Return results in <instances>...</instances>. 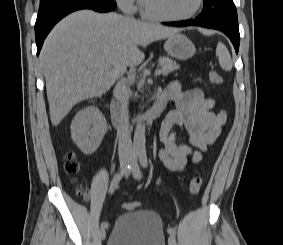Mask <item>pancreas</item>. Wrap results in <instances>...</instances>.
I'll use <instances>...</instances> for the list:
<instances>
[{"label": "pancreas", "mask_w": 283, "mask_h": 245, "mask_svg": "<svg viewBox=\"0 0 283 245\" xmlns=\"http://www.w3.org/2000/svg\"><path fill=\"white\" fill-rule=\"evenodd\" d=\"M159 65L161 67V73L163 75H167L171 73L174 70L179 69V65H177L176 62L172 61L171 59L167 57H160L159 58ZM143 87V82L138 83V88Z\"/></svg>", "instance_id": "obj_1"}]
</instances>
